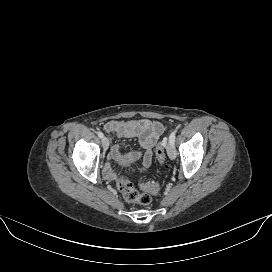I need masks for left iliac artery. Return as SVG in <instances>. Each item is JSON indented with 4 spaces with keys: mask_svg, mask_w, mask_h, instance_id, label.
<instances>
[{
    "mask_svg": "<svg viewBox=\"0 0 272 272\" xmlns=\"http://www.w3.org/2000/svg\"><path fill=\"white\" fill-rule=\"evenodd\" d=\"M175 135H176V131H172L170 136H169V141L174 145L175 143Z\"/></svg>",
    "mask_w": 272,
    "mask_h": 272,
    "instance_id": "left-iliac-artery-1",
    "label": "left iliac artery"
}]
</instances>
